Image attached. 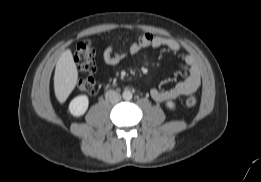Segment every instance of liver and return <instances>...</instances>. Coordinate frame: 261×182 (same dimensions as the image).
Returning a JSON list of instances; mask_svg holds the SVG:
<instances>
[{
    "label": "liver",
    "mask_w": 261,
    "mask_h": 182,
    "mask_svg": "<svg viewBox=\"0 0 261 182\" xmlns=\"http://www.w3.org/2000/svg\"><path fill=\"white\" fill-rule=\"evenodd\" d=\"M78 71L70 49L65 50L57 61L54 74V91L57 100L64 103L75 88Z\"/></svg>",
    "instance_id": "1"
}]
</instances>
